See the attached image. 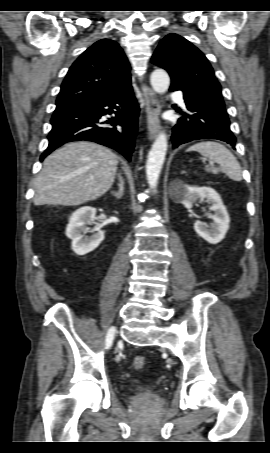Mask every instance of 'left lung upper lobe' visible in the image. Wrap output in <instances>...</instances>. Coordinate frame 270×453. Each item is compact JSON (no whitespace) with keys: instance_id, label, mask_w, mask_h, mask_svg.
Listing matches in <instances>:
<instances>
[{"instance_id":"obj_1","label":"left lung upper lobe","mask_w":270,"mask_h":453,"mask_svg":"<svg viewBox=\"0 0 270 453\" xmlns=\"http://www.w3.org/2000/svg\"><path fill=\"white\" fill-rule=\"evenodd\" d=\"M152 63L170 74L172 85L201 105L226 113L221 86L205 55L184 37L169 34L157 47ZM227 114V113H226Z\"/></svg>"}]
</instances>
